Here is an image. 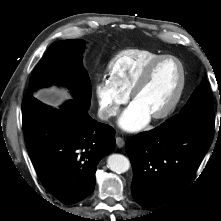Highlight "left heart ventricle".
<instances>
[{"label": "left heart ventricle", "instance_id": "obj_1", "mask_svg": "<svg viewBox=\"0 0 221 221\" xmlns=\"http://www.w3.org/2000/svg\"><path fill=\"white\" fill-rule=\"evenodd\" d=\"M180 81V69L174 60H165L154 69L148 83L135 98L152 116L164 109L174 97Z\"/></svg>", "mask_w": 221, "mask_h": 221}]
</instances>
